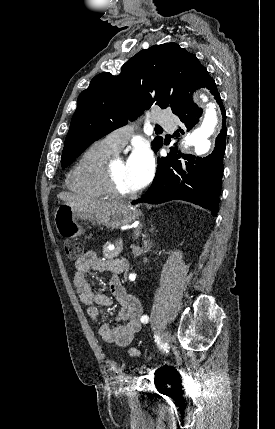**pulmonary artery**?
Instances as JSON below:
<instances>
[{
    "label": "pulmonary artery",
    "instance_id": "obj_1",
    "mask_svg": "<svg viewBox=\"0 0 275 429\" xmlns=\"http://www.w3.org/2000/svg\"><path fill=\"white\" fill-rule=\"evenodd\" d=\"M157 122L168 129H174L176 125V118L171 115L159 114L157 116ZM132 130L130 128L116 130L107 136H105L101 142L107 148L114 152L120 150L130 137Z\"/></svg>",
    "mask_w": 275,
    "mask_h": 429
}]
</instances>
